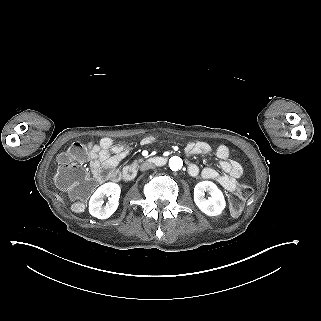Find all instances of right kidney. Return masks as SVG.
I'll list each match as a JSON object with an SVG mask.
<instances>
[{
  "label": "right kidney",
  "mask_w": 321,
  "mask_h": 321,
  "mask_svg": "<svg viewBox=\"0 0 321 321\" xmlns=\"http://www.w3.org/2000/svg\"><path fill=\"white\" fill-rule=\"evenodd\" d=\"M120 186L116 183L108 182L100 186L89 201V213L98 219L109 218L118 208L120 197ZM110 196L105 206L104 197Z\"/></svg>",
  "instance_id": "ca27d5eb"
}]
</instances>
